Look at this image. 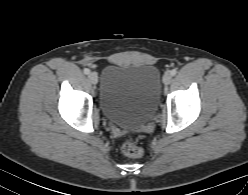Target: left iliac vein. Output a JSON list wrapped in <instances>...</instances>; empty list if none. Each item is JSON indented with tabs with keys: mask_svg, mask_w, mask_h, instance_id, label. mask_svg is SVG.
Masks as SVG:
<instances>
[{
	"mask_svg": "<svg viewBox=\"0 0 248 195\" xmlns=\"http://www.w3.org/2000/svg\"><path fill=\"white\" fill-rule=\"evenodd\" d=\"M171 81H172V76H171V74H170V73H166V74L164 75V77H163V82H164V84L168 85V84L171 83Z\"/></svg>",
	"mask_w": 248,
	"mask_h": 195,
	"instance_id": "1",
	"label": "left iliac vein"
}]
</instances>
